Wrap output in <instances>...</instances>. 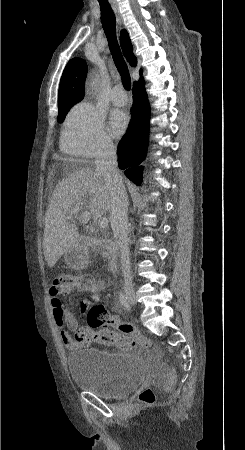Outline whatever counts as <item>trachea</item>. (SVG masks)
<instances>
[{
    "label": "trachea",
    "instance_id": "trachea-1",
    "mask_svg": "<svg viewBox=\"0 0 245 450\" xmlns=\"http://www.w3.org/2000/svg\"><path fill=\"white\" fill-rule=\"evenodd\" d=\"M98 2L101 9L102 27L107 37L113 60L121 75L122 83L125 89L129 91L131 89V78L127 65L118 46L116 38L115 15L108 1L98 0Z\"/></svg>",
    "mask_w": 245,
    "mask_h": 450
}]
</instances>
